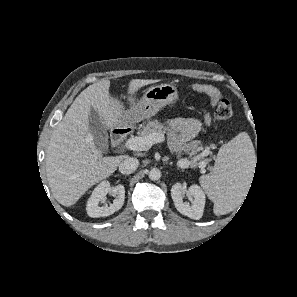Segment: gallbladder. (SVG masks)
<instances>
[{
	"label": "gallbladder",
	"instance_id": "bac80fb5",
	"mask_svg": "<svg viewBox=\"0 0 297 297\" xmlns=\"http://www.w3.org/2000/svg\"><path fill=\"white\" fill-rule=\"evenodd\" d=\"M89 130L94 138L95 145L101 150L106 151L108 147V134L98 112L91 108L89 115Z\"/></svg>",
	"mask_w": 297,
	"mask_h": 297
}]
</instances>
